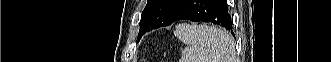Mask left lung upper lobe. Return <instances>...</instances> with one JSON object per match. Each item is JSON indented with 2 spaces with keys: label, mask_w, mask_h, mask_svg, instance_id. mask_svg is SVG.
<instances>
[{
  "label": "left lung upper lobe",
  "mask_w": 331,
  "mask_h": 62,
  "mask_svg": "<svg viewBox=\"0 0 331 62\" xmlns=\"http://www.w3.org/2000/svg\"><path fill=\"white\" fill-rule=\"evenodd\" d=\"M184 0H148L140 21V29L153 30L163 26Z\"/></svg>",
  "instance_id": "obj_1"
}]
</instances>
